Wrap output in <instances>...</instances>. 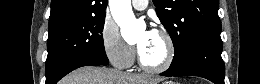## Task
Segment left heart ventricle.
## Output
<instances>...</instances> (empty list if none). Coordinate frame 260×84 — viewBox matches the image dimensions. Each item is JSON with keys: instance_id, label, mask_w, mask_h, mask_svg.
<instances>
[{"instance_id": "obj_1", "label": "left heart ventricle", "mask_w": 260, "mask_h": 84, "mask_svg": "<svg viewBox=\"0 0 260 84\" xmlns=\"http://www.w3.org/2000/svg\"><path fill=\"white\" fill-rule=\"evenodd\" d=\"M136 45L143 60L148 65L157 66L164 62L167 55V47L159 34H148L143 31L138 37Z\"/></svg>"}]
</instances>
